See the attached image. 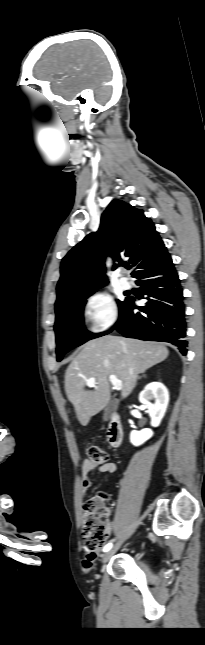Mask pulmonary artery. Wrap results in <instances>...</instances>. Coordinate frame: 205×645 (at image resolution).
I'll use <instances>...</instances> for the list:
<instances>
[{"instance_id": "e3ab8cb5", "label": "pulmonary artery", "mask_w": 205, "mask_h": 645, "mask_svg": "<svg viewBox=\"0 0 205 645\" xmlns=\"http://www.w3.org/2000/svg\"><path fill=\"white\" fill-rule=\"evenodd\" d=\"M118 282L119 286L124 290L130 289L131 287L129 280L124 276L120 277Z\"/></svg>"}]
</instances>
